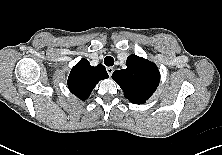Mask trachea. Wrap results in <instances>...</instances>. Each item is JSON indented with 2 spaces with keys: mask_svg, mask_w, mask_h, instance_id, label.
I'll list each match as a JSON object with an SVG mask.
<instances>
[{
  "mask_svg": "<svg viewBox=\"0 0 222 155\" xmlns=\"http://www.w3.org/2000/svg\"><path fill=\"white\" fill-rule=\"evenodd\" d=\"M104 64L106 66H112L114 64V59L111 56H106L104 59Z\"/></svg>",
  "mask_w": 222,
  "mask_h": 155,
  "instance_id": "3493384b",
  "label": "trachea"
}]
</instances>
